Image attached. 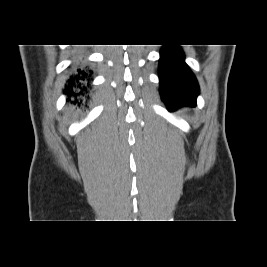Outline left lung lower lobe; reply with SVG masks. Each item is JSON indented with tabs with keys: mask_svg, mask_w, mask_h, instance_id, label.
<instances>
[{
	"mask_svg": "<svg viewBox=\"0 0 267 267\" xmlns=\"http://www.w3.org/2000/svg\"><path fill=\"white\" fill-rule=\"evenodd\" d=\"M159 63L160 92L168 109L196 105L198 82L184 62V53L178 45H163Z\"/></svg>",
	"mask_w": 267,
	"mask_h": 267,
	"instance_id": "1",
	"label": "left lung lower lobe"
}]
</instances>
